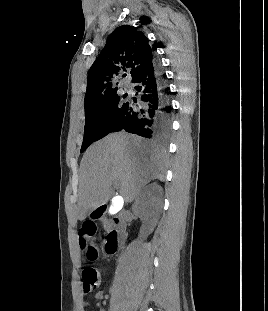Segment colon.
<instances>
[{"label":"colon","mask_w":268,"mask_h":311,"mask_svg":"<svg viewBox=\"0 0 268 311\" xmlns=\"http://www.w3.org/2000/svg\"><path fill=\"white\" fill-rule=\"evenodd\" d=\"M96 232V225L92 222L84 224L80 230L79 242L81 250L84 254L85 262H94L97 261L99 258L100 249L98 244L94 242ZM82 277L84 281L85 292L91 291L99 284V273L96 269L92 267L84 268L82 271Z\"/></svg>","instance_id":"5ec220e1"}]
</instances>
